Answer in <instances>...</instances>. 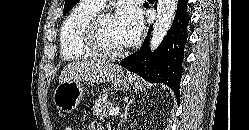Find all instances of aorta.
Masks as SVG:
<instances>
[{
	"label": "aorta",
	"mask_w": 249,
	"mask_h": 130,
	"mask_svg": "<svg viewBox=\"0 0 249 130\" xmlns=\"http://www.w3.org/2000/svg\"><path fill=\"white\" fill-rule=\"evenodd\" d=\"M177 7V0H158L157 15L150 39L151 51L156 50L167 35Z\"/></svg>",
	"instance_id": "762f6f07"
}]
</instances>
